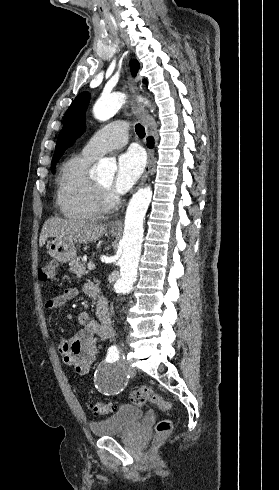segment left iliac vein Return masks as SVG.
Returning a JSON list of instances; mask_svg holds the SVG:
<instances>
[{
	"mask_svg": "<svg viewBox=\"0 0 279 490\" xmlns=\"http://www.w3.org/2000/svg\"><path fill=\"white\" fill-rule=\"evenodd\" d=\"M131 362H132L131 359L128 358V359H126L125 364H124L125 367H127V368L129 367V372L132 371V368L130 366L131 365Z\"/></svg>",
	"mask_w": 279,
	"mask_h": 490,
	"instance_id": "obj_1",
	"label": "left iliac vein"
}]
</instances>
